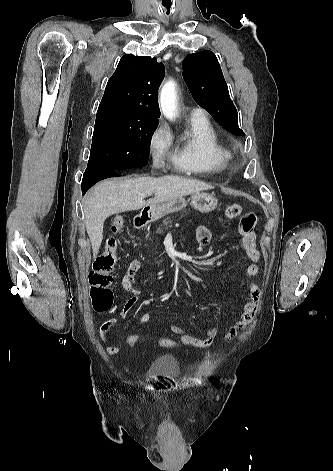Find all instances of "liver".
Wrapping results in <instances>:
<instances>
[{"instance_id": "6515ba94", "label": "liver", "mask_w": 333, "mask_h": 471, "mask_svg": "<svg viewBox=\"0 0 333 471\" xmlns=\"http://www.w3.org/2000/svg\"><path fill=\"white\" fill-rule=\"evenodd\" d=\"M213 187L199 180L174 175L162 177H139L125 180L108 179L98 183L84 200L87 234L96 258L103 240L105 220L126 211L139 210L167 202L173 198L210 190ZM153 193L154 197L144 198Z\"/></svg>"}]
</instances>
